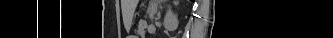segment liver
Listing matches in <instances>:
<instances>
[{"instance_id":"liver-1","label":"liver","mask_w":333,"mask_h":38,"mask_svg":"<svg viewBox=\"0 0 333 38\" xmlns=\"http://www.w3.org/2000/svg\"><path fill=\"white\" fill-rule=\"evenodd\" d=\"M135 2V4H137L138 3V1H134Z\"/></svg>"}]
</instances>
